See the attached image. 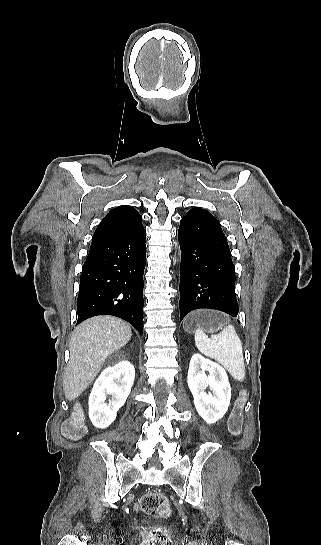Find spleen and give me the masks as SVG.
<instances>
[{
	"mask_svg": "<svg viewBox=\"0 0 321 545\" xmlns=\"http://www.w3.org/2000/svg\"><path fill=\"white\" fill-rule=\"evenodd\" d=\"M195 345L202 355L215 359L235 381H244L245 365L242 343L232 325H227L210 339L202 329L195 331Z\"/></svg>",
	"mask_w": 321,
	"mask_h": 545,
	"instance_id": "3e777b00",
	"label": "spleen"
}]
</instances>
